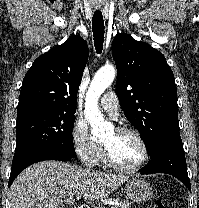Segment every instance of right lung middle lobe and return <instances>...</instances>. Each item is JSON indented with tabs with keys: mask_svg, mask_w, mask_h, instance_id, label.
<instances>
[{
	"mask_svg": "<svg viewBox=\"0 0 199 208\" xmlns=\"http://www.w3.org/2000/svg\"><path fill=\"white\" fill-rule=\"evenodd\" d=\"M75 112L44 109L17 111L13 161L34 150L56 149L75 156L72 132Z\"/></svg>",
	"mask_w": 199,
	"mask_h": 208,
	"instance_id": "obj_1",
	"label": "right lung middle lobe"
}]
</instances>
